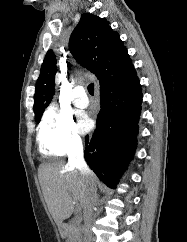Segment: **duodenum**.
I'll return each mask as SVG.
<instances>
[{"label": "duodenum", "mask_w": 187, "mask_h": 242, "mask_svg": "<svg viewBox=\"0 0 187 242\" xmlns=\"http://www.w3.org/2000/svg\"><path fill=\"white\" fill-rule=\"evenodd\" d=\"M68 230H69V225L67 223H61L59 225V232L61 234V236H66L68 234Z\"/></svg>", "instance_id": "duodenum-1"}]
</instances>
